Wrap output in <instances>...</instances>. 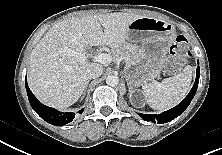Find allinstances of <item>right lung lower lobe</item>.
<instances>
[{"label": "right lung lower lobe", "mask_w": 222, "mask_h": 155, "mask_svg": "<svg viewBox=\"0 0 222 155\" xmlns=\"http://www.w3.org/2000/svg\"><path fill=\"white\" fill-rule=\"evenodd\" d=\"M25 86L26 91L28 94L29 102L31 104V107L36 111V113L44 119L46 122L56 125V126H63L65 124L70 123L73 121L75 117V113L68 112L63 113L59 112L54 108L48 107L43 105L38 99L33 95V93L30 91L27 80H25ZM83 110L78 111V113H82Z\"/></svg>", "instance_id": "right-lung-lower-lobe-1"}]
</instances>
